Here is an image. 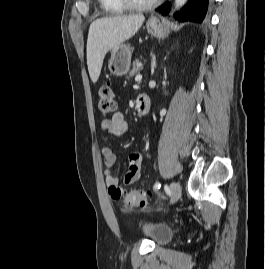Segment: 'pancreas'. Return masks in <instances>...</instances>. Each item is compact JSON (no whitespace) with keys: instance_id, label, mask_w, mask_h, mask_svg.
<instances>
[{"instance_id":"pancreas-1","label":"pancreas","mask_w":265,"mask_h":269,"mask_svg":"<svg viewBox=\"0 0 265 269\" xmlns=\"http://www.w3.org/2000/svg\"><path fill=\"white\" fill-rule=\"evenodd\" d=\"M140 69H141V63L139 62V60H136L135 62H133V67H132V70L129 72L128 77L130 78L137 75Z\"/></svg>"}]
</instances>
